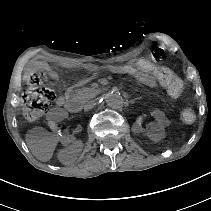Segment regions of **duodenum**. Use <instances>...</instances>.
I'll return each mask as SVG.
<instances>
[{"label":"duodenum","instance_id":"1","mask_svg":"<svg viewBox=\"0 0 211 211\" xmlns=\"http://www.w3.org/2000/svg\"><path fill=\"white\" fill-rule=\"evenodd\" d=\"M65 108L70 112V113H78L81 109V104L75 99H69L65 103Z\"/></svg>","mask_w":211,"mask_h":211}]
</instances>
